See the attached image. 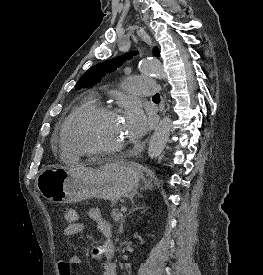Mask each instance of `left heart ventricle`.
Returning a JSON list of instances; mask_svg holds the SVG:
<instances>
[{
	"instance_id": "b2bd125f",
	"label": "left heart ventricle",
	"mask_w": 263,
	"mask_h": 275,
	"mask_svg": "<svg viewBox=\"0 0 263 275\" xmlns=\"http://www.w3.org/2000/svg\"><path fill=\"white\" fill-rule=\"evenodd\" d=\"M77 143L87 149H108L131 141L119 116L100 114L84 121L76 132Z\"/></svg>"
}]
</instances>
